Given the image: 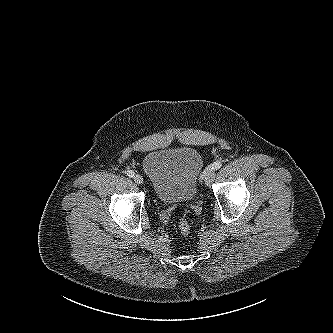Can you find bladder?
Returning <instances> with one entry per match:
<instances>
[{
	"label": "bladder",
	"mask_w": 333,
	"mask_h": 333,
	"mask_svg": "<svg viewBox=\"0 0 333 333\" xmlns=\"http://www.w3.org/2000/svg\"><path fill=\"white\" fill-rule=\"evenodd\" d=\"M142 166L156 197L164 203L192 201L204 162L201 154L191 147L154 150L147 153Z\"/></svg>",
	"instance_id": "1"
}]
</instances>
